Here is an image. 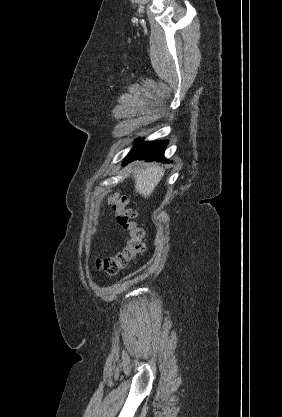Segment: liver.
<instances>
[{
    "instance_id": "liver-1",
    "label": "liver",
    "mask_w": 282,
    "mask_h": 417,
    "mask_svg": "<svg viewBox=\"0 0 282 417\" xmlns=\"http://www.w3.org/2000/svg\"><path fill=\"white\" fill-rule=\"evenodd\" d=\"M162 176H164V168H161L158 164H148L146 168L135 170L136 192L143 194L147 198L153 192L154 188H156Z\"/></svg>"
}]
</instances>
